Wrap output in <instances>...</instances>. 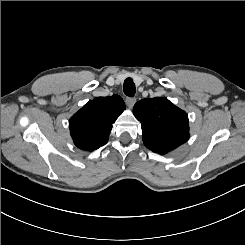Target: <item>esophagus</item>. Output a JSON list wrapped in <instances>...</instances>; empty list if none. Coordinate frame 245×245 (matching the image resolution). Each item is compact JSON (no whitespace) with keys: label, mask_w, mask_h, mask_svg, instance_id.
I'll list each match as a JSON object with an SVG mask.
<instances>
[{"label":"esophagus","mask_w":245,"mask_h":245,"mask_svg":"<svg viewBox=\"0 0 245 245\" xmlns=\"http://www.w3.org/2000/svg\"><path fill=\"white\" fill-rule=\"evenodd\" d=\"M135 102H136L135 98H132V97L126 98V104L129 108H132Z\"/></svg>","instance_id":"esophagus-1"}]
</instances>
